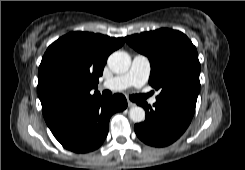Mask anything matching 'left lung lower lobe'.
<instances>
[{
    "label": "left lung lower lobe",
    "instance_id": "obj_1",
    "mask_svg": "<svg viewBox=\"0 0 245 170\" xmlns=\"http://www.w3.org/2000/svg\"><path fill=\"white\" fill-rule=\"evenodd\" d=\"M146 110L144 122L134 126L135 132L144 143L164 147L176 141L189 126L195 109L188 106L156 101L152 108L140 103Z\"/></svg>",
    "mask_w": 245,
    "mask_h": 170
}]
</instances>
